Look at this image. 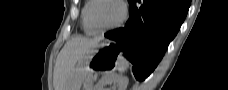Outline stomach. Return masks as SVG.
Masks as SVG:
<instances>
[{
  "instance_id": "stomach-1",
  "label": "stomach",
  "mask_w": 228,
  "mask_h": 90,
  "mask_svg": "<svg viewBox=\"0 0 228 90\" xmlns=\"http://www.w3.org/2000/svg\"><path fill=\"white\" fill-rule=\"evenodd\" d=\"M121 55L105 41L85 54L71 73L65 90H80L84 80L100 69L117 67Z\"/></svg>"
}]
</instances>
